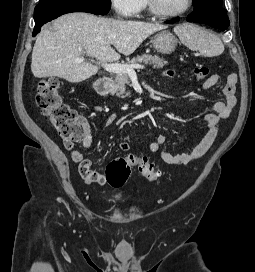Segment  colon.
Listing matches in <instances>:
<instances>
[{"label":"colon","instance_id":"5ec220e1","mask_svg":"<svg viewBox=\"0 0 255 272\" xmlns=\"http://www.w3.org/2000/svg\"><path fill=\"white\" fill-rule=\"evenodd\" d=\"M198 80H204L209 74L206 66L197 67L194 71ZM36 103L53 129L66 144L80 140L86 128L77 113L63 100L61 82L51 77L39 82L36 91ZM132 167L149 181H156L159 173L146 156L130 155L113 159L106 168V179L113 187H122L128 180Z\"/></svg>","mask_w":255,"mask_h":272}]
</instances>
